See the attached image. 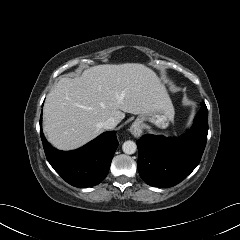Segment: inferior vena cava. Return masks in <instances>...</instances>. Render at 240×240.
Returning <instances> with one entry per match:
<instances>
[{
    "mask_svg": "<svg viewBox=\"0 0 240 240\" xmlns=\"http://www.w3.org/2000/svg\"><path fill=\"white\" fill-rule=\"evenodd\" d=\"M118 124V121L117 119L111 117L109 119H107L103 124V128L106 129V130H110V129H113L117 126Z\"/></svg>",
    "mask_w": 240,
    "mask_h": 240,
    "instance_id": "1",
    "label": "inferior vena cava"
}]
</instances>
